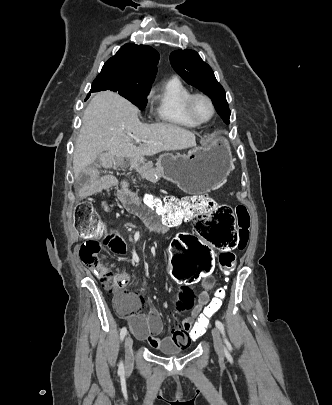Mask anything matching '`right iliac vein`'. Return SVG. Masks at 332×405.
<instances>
[{"label": "right iliac vein", "instance_id": "1", "mask_svg": "<svg viewBox=\"0 0 332 405\" xmlns=\"http://www.w3.org/2000/svg\"><path fill=\"white\" fill-rule=\"evenodd\" d=\"M126 363L130 366L133 362V339L130 336L125 338Z\"/></svg>", "mask_w": 332, "mask_h": 405}]
</instances>
